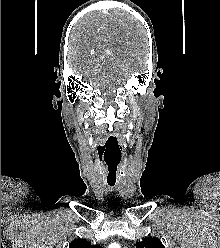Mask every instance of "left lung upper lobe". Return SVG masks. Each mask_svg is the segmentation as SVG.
<instances>
[{"instance_id": "obj_1", "label": "left lung upper lobe", "mask_w": 220, "mask_h": 248, "mask_svg": "<svg viewBox=\"0 0 220 248\" xmlns=\"http://www.w3.org/2000/svg\"><path fill=\"white\" fill-rule=\"evenodd\" d=\"M137 248H165L160 240L156 238H147L142 242L136 243Z\"/></svg>"}]
</instances>
